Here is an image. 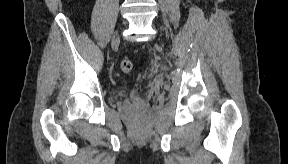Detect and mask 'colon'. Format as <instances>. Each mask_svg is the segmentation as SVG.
Returning a JSON list of instances; mask_svg holds the SVG:
<instances>
[{"label": "colon", "mask_w": 288, "mask_h": 164, "mask_svg": "<svg viewBox=\"0 0 288 164\" xmlns=\"http://www.w3.org/2000/svg\"><path fill=\"white\" fill-rule=\"evenodd\" d=\"M120 66L124 72L129 73L133 68V63L130 59L125 58L121 61Z\"/></svg>", "instance_id": "colon-1"}]
</instances>
